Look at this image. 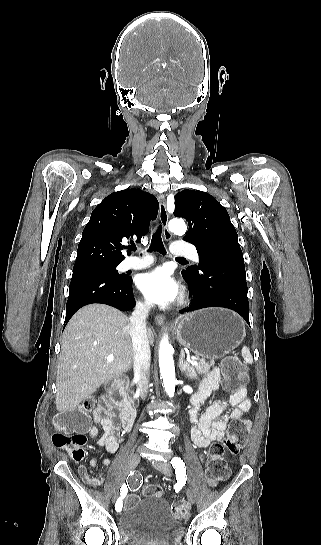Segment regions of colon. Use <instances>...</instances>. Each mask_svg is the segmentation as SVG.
Listing matches in <instances>:
<instances>
[{"mask_svg": "<svg viewBox=\"0 0 321 545\" xmlns=\"http://www.w3.org/2000/svg\"><path fill=\"white\" fill-rule=\"evenodd\" d=\"M221 369L224 375L225 388L233 392H246L248 375L244 365L236 357H227L222 361ZM93 406L92 401H87L83 406L63 411L54 418L55 433L52 443L55 447L67 451L76 461L82 460L85 455L87 442L86 431L89 427L88 412ZM251 428V421L235 419L231 422L226 439L223 443L211 445L207 452L206 478L211 486L224 481L229 475V467L225 459V451L237 454L246 444ZM81 477L91 485H97L87 469H80ZM145 496H160L162 489L158 485L150 484L144 487ZM136 494H128L123 500V508L128 509L139 501ZM176 518L185 520L188 517V508L184 503H177L172 507Z\"/></svg>", "mask_w": 321, "mask_h": 545, "instance_id": "obj_1", "label": "colon"}]
</instances>
